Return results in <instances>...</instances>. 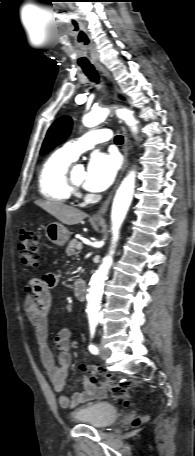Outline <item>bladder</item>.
<instances>
[{
  "label": "bladder",
  "instance_id": "1",
  "mask_svg": "<svg viewBox=\"0 0 195 456\" xmlns=\"http://www.w3.org/2000/svg\"><path fill=\"white\" fill-rule=\"evenodd\" d=\"M118 414V409L111 403L96 402L75 410L71 418L77 423L103 429L113 424Z\"/></svg>",
  "mask_w": 195,
  "mask_h": 456
}]
</instances>
